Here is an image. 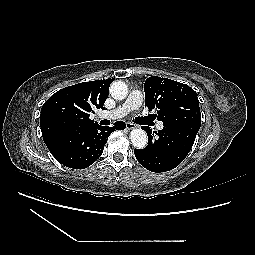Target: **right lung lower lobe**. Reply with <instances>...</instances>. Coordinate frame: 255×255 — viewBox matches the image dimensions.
Listing matches in <instances>:
<instances>
[{
	"mask_svg": "<svg viewBox=\"0 0 255 255\" xmlns=\"http://www.w3.org/2000/svg\"><path fill=\"white\" fill-rule=\"evenodd\" d=\"M118 121L113 127L95 125L74 133L50 150L55 159L66 167L83 169L93 164L102 154L109 135L116 129H124Z\"/></svg>",
	"mask_w": 255,
	"mask_h": 255,
	"instance_id": "1",
	"label": "right lung lower lobe"
}]
</instances>
